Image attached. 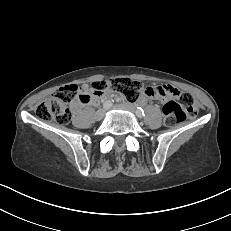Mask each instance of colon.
<instances>
[{
  "instance_id": "colon-1",
  "label": "colon",
  "mask_w": 231,
  "mask_h": 231,
  "mask_svg": "<svg viewBox=\"0 0 231 231\" xmlns=\"http://www.w3.org/2000/svg\"><path fill=\"white\" fill-rule=\"evenodd\" d=\"M91 89L100 94L112 91L122 94L127 100L135 101L146 91L140 81L129 78H111L94 82ZM86 96L79 92L76 85H66L58 89L52 96L45 99L36 109V116L42 121H54L58 124H67L71 120L70 104L75 100H83ZM165 123L175 125L185 119L197 116L198 108L195 100L189 93H180L175 100H170L163 107Z\"/></svg>"
}]
</instances>
